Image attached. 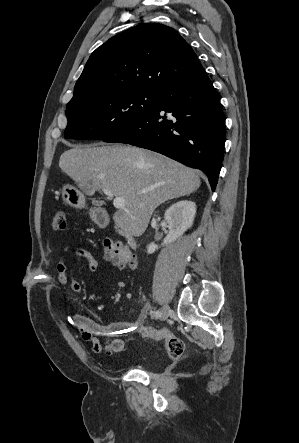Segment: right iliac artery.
<instances>
[{
	"label": "right iliac artery",
	"mask_w": 299,
	"mask_h": 443,
	"mask_svg": "<svg viewBox=\"0 0 299 443\" xmlns=\"http://www.w3.org/2000/svg\"><path fill=\"white\" fill-rule=\"evenodd\" d=\"M151 314H152V316H154V317H157V318H158V317H160V316H161V314H162V313H161V311L157 310V311H152V313H151Z\"/></svg>",
	"instance_id": "obj_1"
}]
</instances>
